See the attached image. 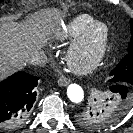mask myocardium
<instances>
[{
  "label": "myocardium",
  "mask_w": 133,
  "mask_h": 133,
  "mask_svg": "<svg viewBox=\"0 0 133 133\" xmlns=\"http://www.w3.org/2000/svg\"><path fill=\"white\" fill-rule=\"evenodd\" d=\"M98 27L103 30L101 39L91 55L85 58L83 57V53L87 48L90 36ZM109 40L110 29L108 25L102 21H93L85 28L80 36L72 42L67 50L66 63L70 70L78 75H89L93 73L106 56Z\"/></svg>",
  "instance_id": "myocardium-1"
}]
</instances>
